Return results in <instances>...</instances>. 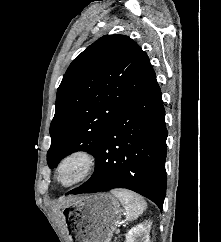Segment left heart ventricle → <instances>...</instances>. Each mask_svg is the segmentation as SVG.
<instances>
[{"label":"left heart ventricle","mask_w":221,"mask_h":242,"mask_svg":"<svg viewBox=\"0 0 221 242\" xmlns=\"http://www.w3.org/2000/svg\"><path fill=\"white\" fill-rule=\"evenodd\" d=\"M73 169L72 167H67L63 173V178L69 180L72 177Z\"/></svg>","instance_id":"obj_1"}]
</instances>
